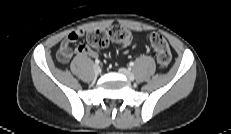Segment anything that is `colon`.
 Masks as SVG:
<instances>
[{"label":"colon","instance_id":"colon-1","mask_svg":"<svg viewBox=\"0 0 231 134\" xmlns=\"http://www.w3.org/2000/svg\"><path fill=\"white\" fill-rule=\"evenodd\" d=\"M88 42L91 46L100 48L108 45L110 41L120 45L127 46L132 40L131 33L123 26L115 25L108 30L98 29L90 31L87 35ZM150 43L156 52L157 62L162 68L168 67L172 55L166 39L158 34L150 35Z\"/></svg>","mask_w":231,"mask_h":134}]
</instances>
